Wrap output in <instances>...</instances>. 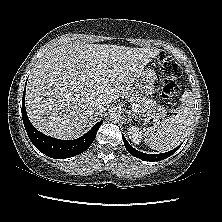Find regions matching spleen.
I'll list each match as a JSON object with an SVG mask.
<instances>
[{"label": "spleen", "instance_id": "spleen-1", "mask_svg": "<svg viewBox=\"0 0 222 222\" xmlns=\"http://www.w3.org/2000/svg\"><path fill=\"white\" fill-rule=\"evenodd\" d=\"M194 97L190 90L182 95L181 105L176 114L162 123L144 129L143 135L150 148L157 151H169L177 147L188 135L194 121Z\"/></svg>", "mask_w": 222, "mask_h": 222}]
</instances>
